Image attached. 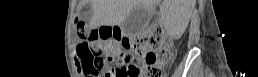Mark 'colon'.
I'll use <instances>...</instances> for the list:
<instances>
[{"label": "colon", "instance_id": "obj_1", "mask_svg": "<svg viewBox=\"0 0 258 77\" xmlns=\"http://www.w3.org/2000/svg\"><path fill=\"white\" fill-rule=\"evenodd\" d=\"M76 31L82 40L77 46V53L88 76H96L105 68V54L112 42L120 43L125 51L113 54L118 64L108 77H161L163 67L171 60L162 27L158 24L153 25L148 34L136 37L124 36L111 27L90 29L77 25ZM98 48L101 53L95 52Z\"/></svg>", "mask_w": 258, "mask_h": 77}]
</instances>
